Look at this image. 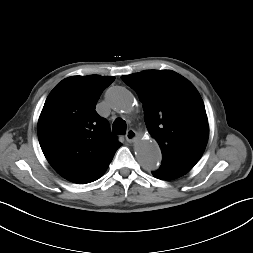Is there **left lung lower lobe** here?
I'll use <instances>...</instances> for the list:
<instances>
[{"label":"left lung lower lobe","mask_w":253,"mask_h":253,"mask_svg":"<svg viewBox=\"0 0 253 253\" xmlns=\"http://www.w3.org/2000/svg\"><path fill=\"white\" fill-rule=\"evenodd\" d=\"M191 168L185 165L162 163L161 167L157 171L152 172V174L158 179L172 180L186 174Z\"/></svg>","instance_id":"0a47b994"}]
</instances>
